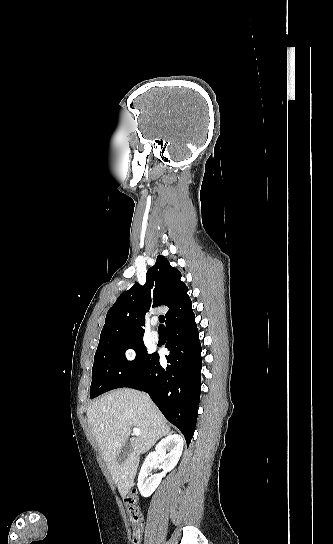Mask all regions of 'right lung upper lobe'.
<instances>
[{
  "label": "right lung upper lobe",
  "mask_w": 333,
  "mask_h": 544,
  "mask_svg": "<svg viewBox=\"0 0 333 544\" xmlns=\"http://www.w3.org/2000/svg\"><path fill=\"white\" fill-rule=\"evenodd\" d=\"M181 273L158 256L149 268L144 286L133 285L123 292L108 310L100 340L116 337H143L145 313L150 307L165 305L169 308L166 326L192 313V302L187 295L188 287L180 280Z\"/></svg>",
  "instance_id": "cb5924a9"
}]
</instances>
